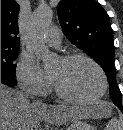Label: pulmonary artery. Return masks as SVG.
<instances>
[{
  "instance_id": "obj_1",
  "label": "pulmonary artery",
  "mask_w": 123,
  "mask_h": 130,
  "mask_svg": "<svg viewBox=\"0 0 123 130\" xmlns=\"http://www.w3.org/2000/svg\"><path fill=\"white\" fill-rule=\"evenodd\" d=\"M45 38L50 46L58 47L62 41V34L58 28L52 27L47 31Z\"/></svg>"
}]
</instances>
